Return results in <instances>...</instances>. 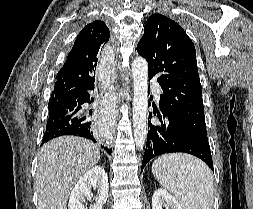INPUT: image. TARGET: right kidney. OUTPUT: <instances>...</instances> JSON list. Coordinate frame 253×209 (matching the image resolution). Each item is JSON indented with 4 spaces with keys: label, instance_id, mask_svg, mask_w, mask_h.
Returning a JSON list of instances; mask_svg holds the SVG:
<instances>
[{
    "label": "right kidney",
    "instance_id": "obj_1",
    "mask_svg": "<svg viewBox=\"0 0 253 209\" xmlns=\"http://www.w3.org/2000/svg\"><path fill=\"white\" fill-rule=\"evenodd\" d=\"M98 187V195L96 196V203L89 209H102L108 198V176L105 170L100 166L87 171L77 182L73 188L68 209H87L85 204V197L91 198V187Z\"/></svg>",
    "mask_w": 253,
    "mask_h": 209
}]
</instances>
